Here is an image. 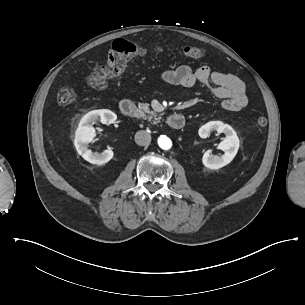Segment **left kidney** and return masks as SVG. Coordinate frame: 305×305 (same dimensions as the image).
Returning a JSON list of instances; mask_svg holds the SVG:
<instances>
[{"mask_svg":"<svg viewBox=\"0 0 305 305\" xmlns=\"http://www.w3.org/2000/svg\"><path fill=\"white\" fill-rule=\"evenodd\" d=\"M212 131L224 133L225 138L219 143L218 149L224 151L221 156L213 155L211 151H206L203 155V164L210 169H219L230 163L239 149V138L235 130L228 124L221 121H210L201 126L198 133L203 139L210 136Z\"/></svg>","mask_w":305,"mask_h":305,"instance_id":"5707ae66","label":"left kidney"}]
</instances>
